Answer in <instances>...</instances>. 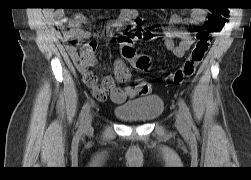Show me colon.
Returning a JSON list of instances; mask_svg holds the SVG:
<instances>
[{
	"label": "colon",
	"mask_w": 251,
	"mask_h": 180,
	"mask_svg": "<svg viewBox=\"0 0 251 180\" xmlns=\"http://www.w3.org/2000/svg\"><path fill=\"white\" fill-rule=\"evenodd\" d=\"M225 21V11L212 10L210 12L205 28L198 30L196 33V42L189 56L176 71L169 75V79L174 84H182L194 75L209 50L212 34L219 31ZM154 37L155 35L151 31L143 28L128 29L118 36L121 56L130 61L136 69L147 71L150 68V59L146 55L137 53L135 42L138 40H152Z\"/></svg>",
	"instance_id": "1"
}]
</instances>
